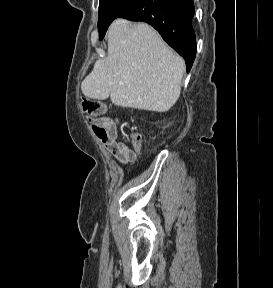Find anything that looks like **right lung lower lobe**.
Returning <instances> with one entry per match:
<instances>
[{"mask_svg":"<svg viewBox=\"0 0 273 288\" xmlns=\"http://www.w3.org/2000/svg\"><path fill=\"white\" fill-rule=\"evenodd\" d=\"M193 0H137L120 18L143 21L185 60L190 71L196 55V36L192 26Z\"/></svg>","mask_w":273,"mask_h":288,"instance_id":"1","label":"right lung lower lobe"}]
</instances>
